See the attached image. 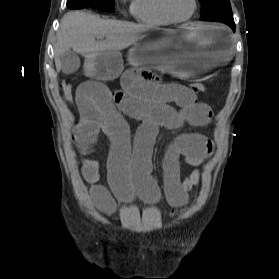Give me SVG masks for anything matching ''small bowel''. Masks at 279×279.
Masks as SVG:
<instances>
[{
	"instance_id": "obj_1",
	"label": "small bowel",
	"mask_w": 279,
	"mask_h": 279,
	"mask_svg": "<svg viewBox=\"0 0 279 279\" xmlns=\"http://www.w3.org/2000/svg\"><path fill=\"white\" fill-rule=\"evenodd\" d=\"M75 101L80 113L72 132L77 148L81 154H89L102 135L108 137V183L121 201H129L135 194L150 203L160 199V189L151 175V155L159 129H177L185 124L200 127L212 118L210 106L198 101L190 88L164 83L151 70L139 67L124 71L119 90L93 81L81 84ZM123 115L141 121L133 140ZM212 153L213 143L199 133L182 134L169 146L163 160V183L172 207L188 201L189 191L198 185L201 176L200 170L194 169L181 178L180 160L199 167ZM81 175L90 184L95 206L112 213L116 203L110 190L99 182V163L84 160Z\"/></svg>"
}]
</instances>
